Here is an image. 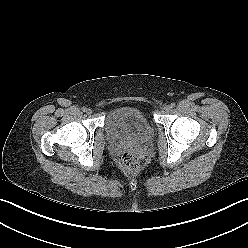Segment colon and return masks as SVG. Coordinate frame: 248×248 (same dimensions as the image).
I'll return each instance as SVG.
<instances>
[{
  "mask_svg": "<svg viewBox=\"0 0 248 248\" xmlns=\"http://www.w3.org/2000/svg\"><path fill=\"white\" fill-rule=\"evenodd\" d=\"M122 164L124 170L131 175L138 173L140 162L138 157L132 152H124L122 155Z\"/></svg>",
  "mask_w": 248,
  "mask_h": 248,
  "instance_id": "1",
  "label": "colon"
}]
</instances>
